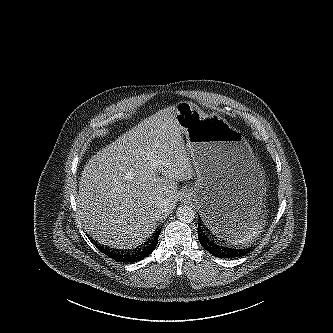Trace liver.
Wrapping results in <instances>:
<instances>
[{"instance_id":"obj_1","label":"liver","mask_w":333,"mask_h":333,"mask_svg":"<svg viewBox=\"0 0 333 333\" xmlns=\"http://www.w3.org/2000/svg\"><path fill=\"white\" fill-rule=\"evenodd\" d=\"M181 132L176 107L171 106L92 156L76 202L84 229L93 238L121 249L136 247L175 208L177 182L194 175ZM159 204L168 212L159 215Z\"/></svg>"}]
</instances>
